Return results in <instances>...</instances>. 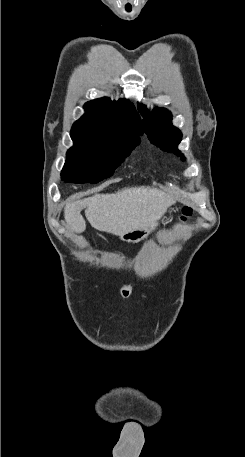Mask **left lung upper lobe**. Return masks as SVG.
Here are the masks:
<instances>
[{"mask_svg":"<svg viewBox=\"0 0 245 457\" xmlns=\"http://www.w3.org/2000/svg\"><path fill=\"white\" fill-rule=\"evenodd\" d=\"M138 110L146 120H143L144 131L153 144L164 151L172 152L185 160L184 155L177 149L182 139L180 130L171 124V113L164 108H154L148 113L146 106L138 104Z\"/></svg>","mask_w":245,"mask_h":457,"instance_id":"obj_1","label":"left lung upper lobe"}]
</instances>
